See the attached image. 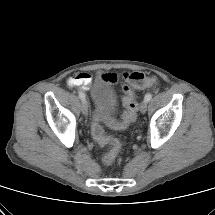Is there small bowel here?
Masks as SVG:
<instances>
[{
	"mask_svg": "<svg viewBox=\"0 0 215 215\" xmlns=\"http://www.w3.org/2000/svg\"><path fill=\"white\" fill-rule=\"evenodd\" d=\"M128 76L129 75H125V78L128 79ZM104 77L110 82H115L118 79V76L114 73H106ZM91 81H92V77L90 74L86 72H81L71 76L68 79V85L71 87H79L81 90L86 91L88 90L91 84Z\"/></svg>",
	"mask_w": 215,
	"mask_h": 215,
	"instance_id": "c3829d8e",
	"label": "small bowel"
}]
</instances>
